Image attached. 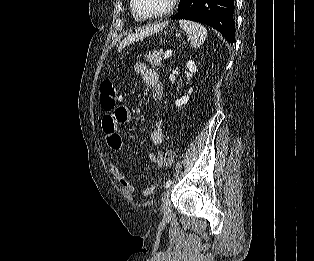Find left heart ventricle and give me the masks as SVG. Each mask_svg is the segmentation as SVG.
Here are the masks:
<instances>
[{
	"mask_svg": "<svg viewBox=\"0 0 314 261\" xmlns=\"http://www.w3.org/2000/svg\"><path fill=\"white\" fill-rule=\"evenodd\" d=\"M169 0H136V7L142 14H152L163 10Z\"/></svg>",
	"mask_w": 314,
	"mask_h": 261,
	"instance_id": "left-heart-ventricle-1",
	"label": "left heart ventricle"
}]
</instances>
